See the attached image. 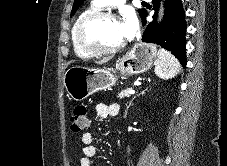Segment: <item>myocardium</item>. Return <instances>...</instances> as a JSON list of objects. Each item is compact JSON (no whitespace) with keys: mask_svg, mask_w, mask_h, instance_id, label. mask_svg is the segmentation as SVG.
<instances>
[{"mask_svg":"<svg viewBox=\"0 0 227 166\" xmlns=\"http://www.w3.org/2000/svg\"><path fill=\"white\" fill-rule=\"evenodd\" d=\"M103 19H113V20H119V15L111 12V11H104L99 10L92 12L85 17H83L80 22L78 23L75 31V40L77 45L84 51L92 54V55H110L113 53L118 52L122 48L125 47L126 41H123L122 43L111 47V48H105L101 47L93 42H91L86 34L87 28L100 20Z\"/></svg>","mask_w":227,"mask_h":166,"instance_id":"1","label":"myocardium"}]
</instances>
